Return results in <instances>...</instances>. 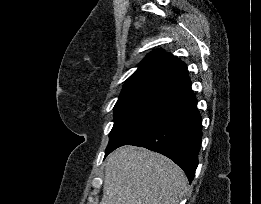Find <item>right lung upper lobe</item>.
<instances>
[{"mask_svg":"<svg viewBox=\"0 0 261 204\" xmlns=\"http://www.w3.org/2000/svg\"><path fill=\"white\" fill-rule=\"evenodd\" d=\"M190 81L186 64L162 49L149 53L125 81L121 95L136 92L169 94Z\"/></svg>","mask_w":261,"mask_h":204,"instance_id":"right-lung-upper-lobe-1","label":"right lung upper lobe"}]
</instances>
